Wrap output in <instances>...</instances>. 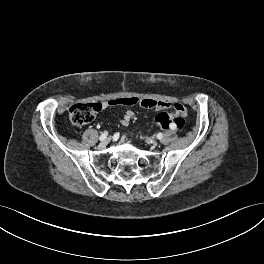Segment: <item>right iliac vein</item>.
<instances>
[{"instance_id": "1", "label": "right iliac vein", "mask_w": 264, "mask_h": 264, "mask_svg": "<svg viewBox=\"0 0 264 264\" xmlns=\"http://www.w3.org/2000/svg\"><path fill=\"white\" fill-rule=\"evenodd\" d=\"M112 138L113 137L110 135L108 138L104 139L102 142L108 144Z\"/></svg>"}]
</instances>
